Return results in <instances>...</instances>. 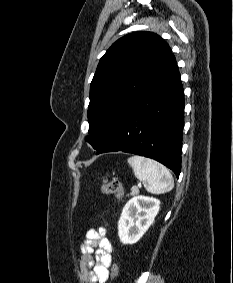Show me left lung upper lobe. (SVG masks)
Segmentation results:
<instances>
[{"label": "left lung upper lobe", "instance_id": "obj_1", "mask_svg": "<svg viewBox=\"0 0 233 283\" xmlns=\"http://www.w3.org/2000/svg\"><path fill=\"white\" fill-rule=\"evenodd\" d=\"M171 54L169 45L152 32L118 39L102 56L90 86L89 135L101 149L119 128L155 70Z\"/></svg>", "mask_w": 233, "mask_h": 283}]
</instances>
